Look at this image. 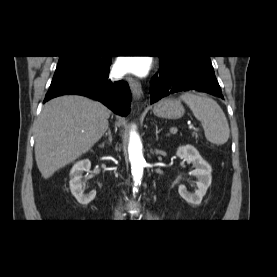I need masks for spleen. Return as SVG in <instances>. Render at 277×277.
I'll return each mask as SVG.
<instances>
[{
  "instance_id": "spleen-1",
  "label": "spleen",
  "mask_w": 277,
  "mask_h": 277,
  "mask_svg": "<svg viewBox=\"0 0 277 277\" xmlns=\"http://www.w3.org/2000/svg\"><path fill=\"white\" fill-rule=\"evenodd\" d=\"M180 99L189 106L195 118L202 123L205 137L209 142L223 145L228 141L229 125L223 110L216 101L191 92L182 94Z\"/></svg>"
}]
</instances>
